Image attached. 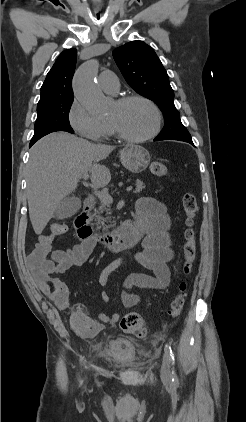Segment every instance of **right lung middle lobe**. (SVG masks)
I'll return each mask as SVG.
<instances>
[{
  "label": "right lung middle lobe",
  "instance_id": "1",
  "mask_svg": "<svg viewBox=\"0 0 246 422\" xmlns=\"http://www.w3.org/2000/svg\"><path fill=\"white\" fill-rule=\"evenodd\" d=\"M73 98L62 99L37 108V119L34 126V136L30 144H34L43 136L56 132L66 131L74 133L69 122V111Z\"/></svg>",
  "mask_w": 246,
  "mask_h": 422
}]
</instances>
